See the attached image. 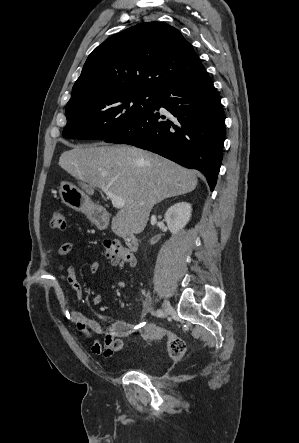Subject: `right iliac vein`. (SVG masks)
I'll return each instance as SVG.
<instances>
[{
    "mask_svg": "<svg viewBox=\"0 0 299 443\" xmlns=\"http://www.w3.org/2000/svg\"><path fill=\"white\" fill-rule=\"evenodd\" d=\"M171 311H172V307H171L169 301L165 300L162 305L163 316L166 317L168 314L171 313Z\"/></svg>",
    "mask_w": 299,
    "mask_h": 443,
    "instance_id": "obj_1",
    "label": "right iliac vein"
}]
</instances>
